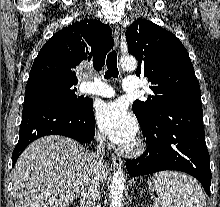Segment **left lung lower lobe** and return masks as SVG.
Returning a JSON list of instances; mask_svg holds the SVG:
<instances>
[{
  "label": "left lung lower lobe",
  "instance_id": "left-lung-lower-lobe-1",
  "mask_svg": "<svg viewBox=\"0 0 220 207\" xmlns=\"http://www.w3.org/2000/svg\"><path fill=\"white\" fill-rule=\"evenodd\" d=\"M145 153L126 162L132 177L179 170L195 177L210 196V158L205 143L201 101L182 102L142 129Z\"/></svg>",
  "mask_w": 220,
  "mask_h": 207
}]
</instances>
